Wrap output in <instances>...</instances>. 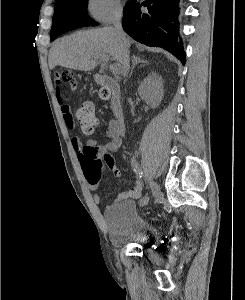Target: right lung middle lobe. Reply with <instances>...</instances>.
I'll use <instances>...</instances> for the list:
<instances>
[{
  "mask_svg": "<svg viewBox=\"0 0 245 300\" xmlns=\"http://www.w3.org/2000/svg\"><path fill=\"white\" fill-rule=\"evenodd\" d=\"M134 1H129L125 8ZM88 0H57L54 7L53 25L50 32L51 40L58 37L57 23L61 20L76 21L83 26H96L97 24L87 15Z\"/></svg>",
  "mask_w": 245,
  "mask_h": 300,
  "instance_id": "right-lung-middle-lobe-1",
  "label": "right lung middle lobe"
}]
</instances>
